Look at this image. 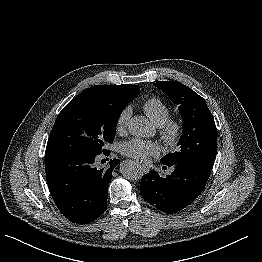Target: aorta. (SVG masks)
Segmentation results:
<instances>
[{"instance_id":"obj_1","label":"aorta","mask_w":262,"mask_h":262,"mask_svg":"<svg viewBox=\"0 0 262 262\" xmlns=\"http://www.w3.org/2000/svg\"><path fill=\"white\" fill-rule=\"evenodd\" d=\"M128 129L135 137H150L154 135V128L143 116H134L129 121ZM120 172L130 180H139L143 176L142 167L133 160H125L120 164Z\"/></svg>"}]
</instances>
